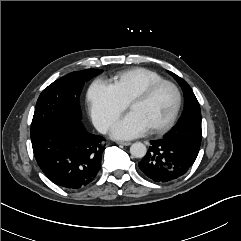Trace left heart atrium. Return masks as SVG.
<instances>
[{"label":"left heart atrium","instance_id":"left-heart-atrium-1","mask_svg":"<svg viewBox=\"0 0 241 241\" xmlns=\"http://www.w3.org/2000/svg\"><path fill=\"white\" fill-rule=\"evenodd\" d=\"M149 129L148 123L138 113L130 111L114 125L112 136L117 139H132Z\"/></svg>","mask_w":241,"mask_h":241}]
</instances>
